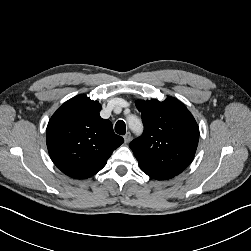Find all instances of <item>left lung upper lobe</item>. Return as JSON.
<instances>
[{
  "instance_id": "obj_1",
  "label": "left lung upper lobe",
  "mask_w": 251,
  "mask_h": 251,
  "mask_svg": "<svg viewBox=\"0 0 251 251\" xmlns=\"http://www.w3.org/2000/svg\"><path fill=\"white\" fill-rule=\"evenodd\" d=\"M144 133L134 139L132 149L144 173L174 177L192 162L199 140L198 125L178 99L160 102L138 100Z\"/></svg>"
}]
</instances>
